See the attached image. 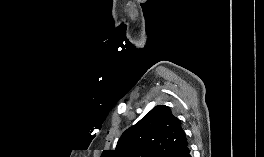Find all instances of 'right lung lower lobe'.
Wrapping results in <instances>:
<instances>
[{
	"label": "right lung lower lobe",
	"mask_w": 264,
	"mask_h": 157,
	"mask_svg": "<svg viewBox=\"0 0 264 157\" xmlns=\"http://www.w3.org/2000/svg\"><path fill=\"white\" fill-rule=\"evenodd\" d=\"M177 157H191L190 149L187 146L183 151H181Z\"/></svg>",
	"instance_id": "1"
}]
</instances>
